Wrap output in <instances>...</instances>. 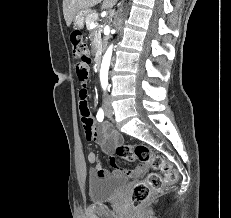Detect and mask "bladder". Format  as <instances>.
<instances>
[{
    "label": "bladder",
    "mask_w": 231,
    "mask_h": 218,
    "mask_svg": "<svg viewBox=\"0 0 231 218\" xmlns=\"http://www.w3.org/2000/svg\"><path fill=\"white\" fill-rule=\"evenodd\" d=\"M127 184V179L119 176L90 175L88 197L92 203L114 200Z\"/></svg>",
    "instance_id": "obj_1"
}]
</instances>
